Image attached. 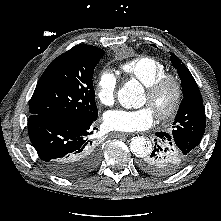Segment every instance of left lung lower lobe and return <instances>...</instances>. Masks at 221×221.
<instances>
[{"mask_svg":"<svg viewBox=\"0 0 221 221\" xmlns=\"http://www.w3.org/2000/svg\"><path fill=\"white\" fill-rule=\"evenodd\" d=\"M154 149L138 161L144 172L154 176H169L182 170L192 159L170 133L156 132Z\"/></svg>","mask_w":221,"mask_h":221,"instance_id":"left-lung-lower-lobe-1","label":"left lung lower lobe"}]
</instances>
